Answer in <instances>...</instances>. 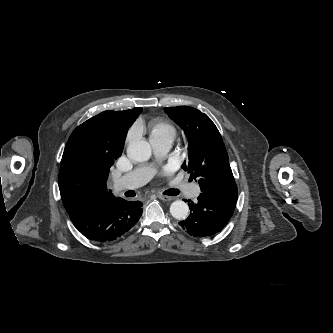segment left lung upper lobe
<instances>
[{
    "instance_id": "5c2ea615",
    "label": "left lung upper lobe",
    "mask_w": 333,
    "mask_h": 333,
    "mask_svg": "<svg viewBox=\"0 0 333 333\" xmlns=\"http://www.w3.org/2000/svg\"><path fill=\"white\" fill-rule=\"evenodd\" d=\"M164 111L187 135L189 155L182 169L198 180L202 194L217 200H237L229 157L212 120L188 106L168 107Z\"/></svg>"
}]
</instances>
